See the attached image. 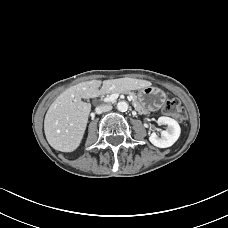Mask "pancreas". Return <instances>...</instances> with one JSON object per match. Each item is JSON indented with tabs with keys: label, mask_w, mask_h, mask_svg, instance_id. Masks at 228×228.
Returning a JSON list of instances; mask_svg holds the SVG:
<instances>
[{
	"label": "pancreas",
	"mask_w": 228,
	"mask_h": 228,
	"mask_svg": "<svg viewBox=\"0 0 228 228\" xmlns=\"http://www.w3.org/2000/svg\"><path fill=\"white\" fill-rule=\"evenodd\" d=\"M109 93H120L123 94V91H111ZM127 94H130L132 103L134 104V107L137 109V111L141 114L147 115V116H153V113L147 112L146 109H142L140 105L137 102L136 95L134 91L126 92Z\"/></svg>",
	"instance_id": "obj_1"
}]
</instances>
